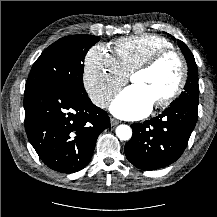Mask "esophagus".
<instances>
[{
	"label": "esophagus",
	"mask_w": 217,
	"mask_h": 217,
	"mask_svg": "<svg viewBox=\"0 0 217 217\" xmlns=\"http://www.w3.org/2000/svg\"><path fill=\"white\" fill-rule=\"evenodd\" d=\"M111 126H116L118 125L120 122L118 120H116L115 118H111L110 120Z\"/></svg>",
	"instance_id": "esophagus-1"
}]
</instances>
